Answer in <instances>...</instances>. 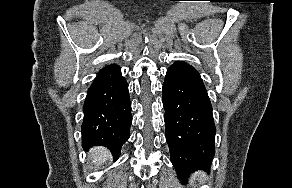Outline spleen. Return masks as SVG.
Segmentation results:
<instances>
[{"label":"spleen","mask_w":292,"mask_h":188,"mask_svg":"<svg viewBox=\"0 0 292 188\" xmlns=\"http://www.w3.org/2000/svg\"><path fill=\"white\" fill-rule=\"evenodd\" d=\"M193 179H198L200 182H203L205 179V174L203 172H196L193 175Z\"/></svg>","instance_id":"3e777b00"}]
</instances>
